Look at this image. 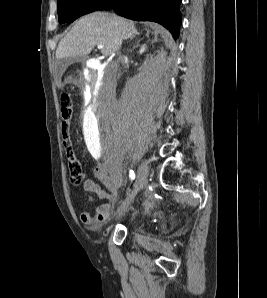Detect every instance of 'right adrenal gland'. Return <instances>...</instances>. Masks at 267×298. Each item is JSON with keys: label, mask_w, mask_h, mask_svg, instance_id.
<instances>
[{"label": "right adrenal gland", "mask_w": 267, "mask_h": 298, "mask_svg": "<svg viewBox=\"0 0 267 298\" xmlns=\"http://www.w3.org/2000/svg\"><path fill=\"white\" fill-rule=\"evenodd\" d=\"M140 33L136 30L134 35L132 37H130V39H133L136 35H139Z\"/></svg>", "instance_id": "1"}]
</instances>
